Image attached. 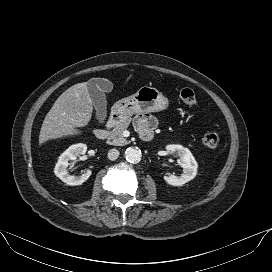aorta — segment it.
<instances>
[{
	"instance_id": "aorta-1",
	"label": "aorta",
	"mask_w": 272,
	"mask_h": 272,
	"mask_svg": "<svg viewBox=\"0 0 272 272\" xmlns=\"http://www.w3.org/2000/svg\"><path fill=\"white\" fill-rule=\"evenodd\" d=\"M141 151L136 148H127L125 151V158L130 163H138L141 160Z\"/></svg>"
}]
</instances>
